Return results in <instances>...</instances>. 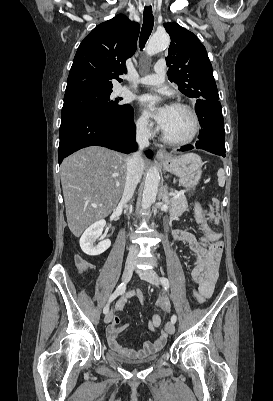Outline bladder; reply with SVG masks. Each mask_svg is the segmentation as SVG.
Returning a JSON list of instances; mask_svg holds the SVG:
<instances>
[{
    "mask_svg": "<svg viewBox=\"0 0 273 401\" xmlns=\"http://www.w3.org/2000/svg\"><path fill=\"white\" fill-rule=\"evenodd\" d=\"M109 354L112 357V359H114L115 361H117L121 364L129 365V366L152 364L159 358V354L157 353V354L151 355L142 360L132 361V360H128V359L124 358L123 356H121L118 353L111 351V350L109 351Z\"/></svg>",
    "mask_w": 273,
    "mask_h": 401,
    "instance_id": "31cf9c89",
    "label": "bladder"
}]
</instances>
